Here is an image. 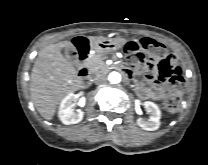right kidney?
Here are the masks:
<instances>
[{
  "mask_svg": "<svg viewBox=\"0 0 208 165\" xmlns=\"http://www.w3.org/2000/svg\"><path fill=\"white\" fill-rule=\"evenodd\" d=\"M76 97L73 93L68 94L62 101L58 111V117L65 125L76 124L82 121L84 112H74Z\"/></svg>",
  "mask_w": 208,
  "mask_h": 165,
  "instance_id": "obj_1",
  "label": "right kidney"
}]
</instances>
